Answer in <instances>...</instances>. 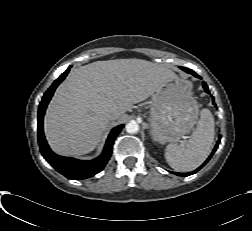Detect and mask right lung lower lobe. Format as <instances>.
I'll list each match as a JSON object with an SVG mask.
<instances>
[{
  "label": "right lung lower lobe",
  "mask_w": 252,
  "mask_h": 231,
  "mask_svg": "<svg viewBox=\"0 0 252 231\" xmlns=\"http://www.w3.org/2000/svg\"><path fill=\"white\" fill-rule=\"evenodd\" d=\"M69 70L70 69H67L58 79L54 81L42 98L38 111V142L43 157L59 173L63 174L69 179L81 180L94 176L105 167L111 157L114 140L124 125H119L110 132L103 153L96 159L90 161H81L70 157H62L52 152L44 137L43 118L46 107L55 89L65 79Z\"/></svg>",
  "instance_id": "obj_1"
}]
</instances>
